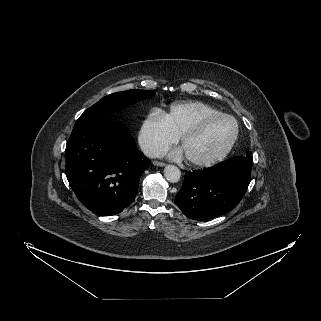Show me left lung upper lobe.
<instances>
[{
    "mask_svg": "<svg viewBox=\"0 0 321 321\" xmlns=\"http://www.w3.org/2000/svg\"><path fill=\"white\" fill-rule=\"evenodd\" d=\"M246 156H250V157H252V153H251V151H247V152H246Z\"/></svg>",
    "mask_w": 321,
    "mask_h": 321,
    "instance_id": "1",
    "label": "left lung upper lobe"
}]
</instances>
